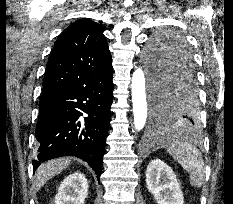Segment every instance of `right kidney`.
<instances>
[{"instance_id": "right-kidney-1", "label": "right kidney", "mask_w": 233, "mask_h": 204, "mask_svg": "<svg viewBox=\"0 0 233 204\" xmlns=\"http://www.w3.org/2000/svg\"><path fill=\"white\" fill-rule=\"evenodd\" d=\"M87 195L86 177L80 172H75L61 182L55 197V204H84Z\"/></svg>"}]
</instances>
